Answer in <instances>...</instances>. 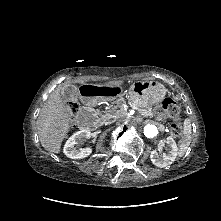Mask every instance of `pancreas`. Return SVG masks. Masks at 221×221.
Masks as SVG:
<instances>
[{"mask_svg": "<svg viewBox=\"0 0 221 221\" xmlns=\"http://www.w3.org/2000/svg\"><path fill=\"white\" fill-rule=\"evenodd\" d=\"M124 104L125 99L121 97L114 102V105H112L111 109H109L108 111H105L103 113L97 112L102 123H109L111 119L126 116L127 112L123 109ZM137 110L144 117H153V111L151 108H137Z\"/></svg>", "mask_w": 221, "mask_h": 221, "instance_id": "1", "label": "pancreas"}]
</instances>
